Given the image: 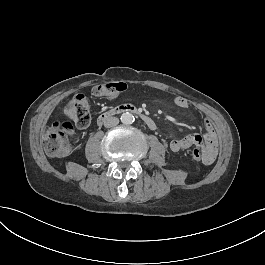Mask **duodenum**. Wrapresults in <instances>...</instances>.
Segmentation results:
<instances>
[{
	"instance_id": "410a0bca",
	"label": "duodenum",
	"mask_w": 265,
	"mask_h": 265,
	"mask_svg": "<svg viewBox=\"0 0 265 265\" xmlns=\"http://www.w3.org/2000/svg\"><path fill=\"white\" fill-rule=\"evenodd\" d=\"M127 112H132L138 115V117L143 121L145 125H147L150 129H155L156 128V123L150 117L149 115L139 111L136 107L132 105H118L114 106L111 109L102 112L98 117H97V124H103L107 119L112 118L114 116L127 113Z\"/></svg>"
}]
</instances>
